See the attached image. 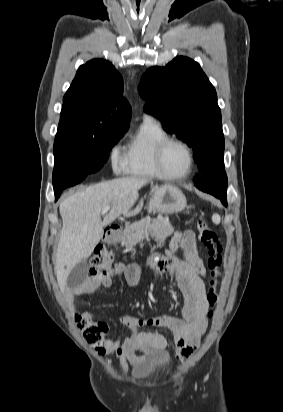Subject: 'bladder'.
Masks as SVG:
<instances>
[{
  "label": "bladder",
  "instance_id": "bladder-1",
  "mask_svg": "<svg viewBox=\"0 0 283 412\" xmlns=\"http://www.w3.org/2000/svg\"><path fill=\"white\" fill-rule=\"evenodd\" d=\"M163 365H164L165 371L168 372V371L170 370V363H169V361H168V360L164 361V362H163ZM146 376H147V373L140 375L141 378H144V377H146Z\"/></svg>",
  "mask_w": 283,
  "mask_h": 412
}]
</instances>
